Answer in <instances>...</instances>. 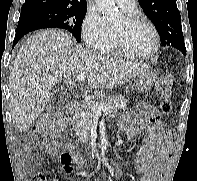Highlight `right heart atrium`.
I'll return each mask as SVG.
<instances>
[{
  "instance_id": "1",
  "label": "right heart atrium",
  "mask_w": 197,
  "mask_h": 181,
  "mask_svg": "<svg viewBox=\"0 0 197 181\" xmlns=\"http://www.w3.org/2000/svg\"><path fill=\"white\" fill-rule=\"evenodd\" d=\"M82 38L94 52H105L113 42V33L106 27L99 13L89 9L81 26Z\"/></svg>"
}]
</instances>
